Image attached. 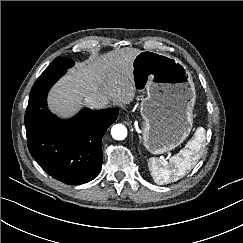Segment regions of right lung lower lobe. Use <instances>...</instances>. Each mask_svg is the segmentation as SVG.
I'll use <instances>...</instances> for the list:
<instances>
[{
	"instance_id": "right-lung-lower-lobe-1",
	"label": "right lung lower lobe",
	"mask_w": 243,
	"mask_h": 243,
	"mask_svg": "<svg viewBox=\"0 0 243 243\" xmlns=\"http://www.w3.org/2000/svg\"><path fill=\"white\" fill-rule=\"evenodd\" d=\"M66 69L45 70L35 82L25 113L28 149L53 178L83 184L98 176L102 166V137L118 117L117 109L84 108L61 120L47 108V93Z\"/></svg>"
}]
</instances>
